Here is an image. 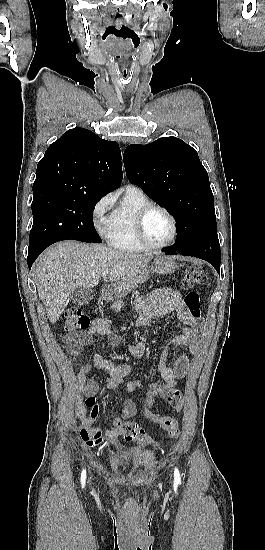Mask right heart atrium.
I'll list each match as a JSON object with an SVG mask.
<instances>
[{"label":"right heart atrium","instance_id":"right-heart-atrium-1","mask_svg":"<svg viewBox=\"0 0 265 550\" xmlns=\"http://www.w3.org/2000/svg\"><path fill=\"white\" fill-rule=\"evenodd\" d=\"M113 203V197L110 194L101 197L94 205L92 216L96 229L101 234L106 230V214Z\"/></svg>","mask_w":265,"mask_h":550}]
</instances>
